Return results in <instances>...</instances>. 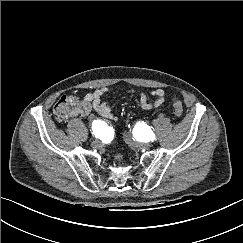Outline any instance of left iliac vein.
<instances>
[{"label":"left iliac vein","instance_id":"obj_1","mask_svg":"<svg viewBox=\"0 0 243 243\" xmlns=\"http://www.w3.org/2000/svg\"><path fill=\"white\" fill-rule=\"evenodd\" d=\"M124 139L125 141L130 144L131 146L137 147V148H144V149H149L150 145L148 143H138L133 141L131 136L127 133L124 134Z\"/></svg>","mask_w":243,"mask_h":243}]
</instances>
